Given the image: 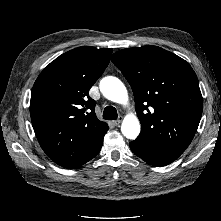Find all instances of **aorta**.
<instances>
[{
	"label": "aorta",
	"mask_w": 221,
	"mask_h": 221,
	"mask_svg": "<svg viewBox=\"0 0 221 221\" xmlns=\"http://www.w3.org/2000/svg\"><path fill=\"white\" fill-rule=\"evenodd\" d=\"M101 93L110 101L119 104H126L128 92L125 85L116 77L108 76L100 81ZM141 130L140 122L134 115L124 118L121 125L122 134L128 139H135Z\"/></svg>",
	"instance_id": "1"
}]
</instances>
